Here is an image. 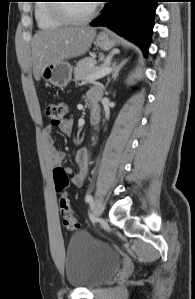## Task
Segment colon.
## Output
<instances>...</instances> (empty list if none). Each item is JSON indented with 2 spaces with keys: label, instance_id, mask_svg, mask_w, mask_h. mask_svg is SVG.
Masks as SVG:
<instances>
[{
  "label": "colon",
  "instance_id": "colon-1",
  "mask_svg": "<svg viewBox=\"0 0 195 299\" xmlns=\"http://www.w3.org/2000/svg\"><path fill=\"white\" fill-rule=\"evenodd\" d=\"M44 111L51 124L57 126L63 121L67 113V105L62 101L50 102L46 104ZM53 179L55 190L58 194H60L59 209L64 217L63 224L67 230H78L80 228V223L73 215L69 199L65 195V189L69 184V179L66 171L62 167L56 166L53 169Z\"/></svg>",
  "mask_w": 195,
  "mask_h": 299
}]
</instances>
